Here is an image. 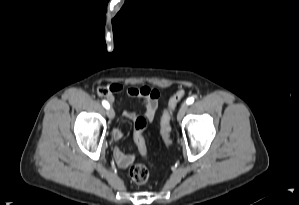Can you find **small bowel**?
Listing matches in <instances>:
<instances>
[{
  "label": "small bowel",
  "instance_id": "c3829d8e",
  "mask_svg": "<svg viewBox=\"0 0 299 205\" xmlns=\"http://www.w3.org/2000/svg\"><path fill=\"white\" fill-rule=\"evenodd\" d=\"M112 92H119L122 90V86L118 83H113L111 86ZM127 94L134 98H140L144 101L145 110L142 113H136L132 111H124L123 116L125 118L134 120L137 116L142 115L146 118L147 122H151L156 114L158 107V100L160 93L155 88L148 86L143 87H129ZM110 101H113V97H109ZM115 140H121L124 136V132L120 128H115L113 132ZM114 158L119 167L126 169L131 166L135 160L132 154L123 152L119 147L114 149Z\"/></svg>",
  "mask_w": 299,
  "mask_h": 205
}]
</instances>
